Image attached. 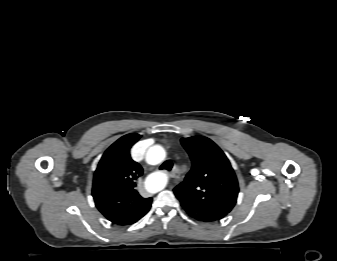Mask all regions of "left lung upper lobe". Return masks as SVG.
<instances>
[{
    "mask_svg": "<svg viewBox=\"0 0 337 261\" xmlns=\"http://www.w3.org/2000/svg\"><path fill=\"white\" fill-rule=\"evenodd\" d=\"M192 160L185 180L174 188L175 196L192 218L214 222L234 207L239 192L234 170L223 151L202 136L182 138Z\"/></svg>",
    "mask_w": 337,
    "mask_h": 261,
    "instance_id": "1",
    "label": "left lung upper lobe"
}]
</instances>
